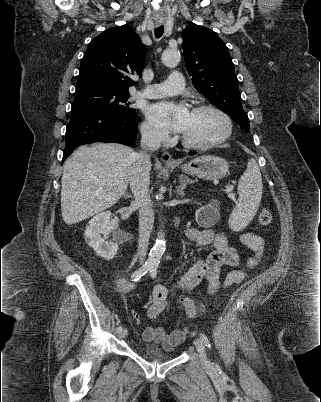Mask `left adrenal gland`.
I'll return each mask as SVG.
<instances>
[{
  "label": "left adrenal gland",
  "instance_id": "obj_1",
  "mask_svg": "<svg viewBox=\"0 0 321 402\" xmlns=\"http://www.w3.org/2000/svg\"><path fill=\"white\" fill-rule=\"evenodd\" d=\"M193 183L192 180L189 179L186 175H181L179 178V186L176 188V193L179 196H184V190L186 189L187 184Z\"/></svg>",
  "mask_w": 321,
  "mask_h": 402
}]
</instances>
